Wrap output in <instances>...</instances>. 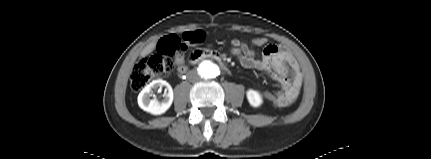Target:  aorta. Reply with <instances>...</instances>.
I'll list each match as a JSON object with an SVG mask.
<instances>
[{"instance_id":"aorta-1","label":"aorta","mask_w":431,"mask_h":159,"mask_svg":"<svg viewBox=\"0 0 431 159\" xmlns=\"http://www.w3.org/2000/svg\"><path fill=\"white\" fill-rule=\"evenodd\" d=\"M198 73L204 80H213L220 75V68L216 63L206 60L200 64Z\"/></svg>"}]
</instances>
